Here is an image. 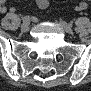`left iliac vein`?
I'll use <instances>...</instances> for the list:
<instances>
[{
    "mask_svg": "<svg viewBox=\"0 0 91 91\" xmlns=\"http://www.w3.org/2000/svg\"><path fill=\"white\" fill-rule=\"evenodd\" d=\"M60 24H61V26H62V28H63V30H64L65 32H67V33H69V34H72V33H73V29H72V28H69V27L67 26V23H66L65 21H60Z\"/></svg>",
    "mask_w": 91,
    "mask_h": 91,
    "instance_id": "left-iliac-vein-1",
    "label": "left iliac vein"
}]
</instances>
